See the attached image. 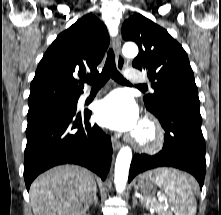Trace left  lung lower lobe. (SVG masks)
<instances>
[{
	"label": "left lung lower lobe",
	"mask_w": 221,
	"mask_h": 215,
	"mask_svg": "<svg viewBox=\"0 0 221 215\" xmlns=\"http://www.w3.org/2000/svg\"><path fill=\"white\" fill-rule=\"evenodd\" d=\"M165 131L162 151L156 155L135 154L129 182L139 173L157 167H174L191 173L202 189L206 172L205 142L201 131L200 106L168 99L151 111Z\"/></svg>",
	"instance_id": "obj_1"
}]
</instances>
